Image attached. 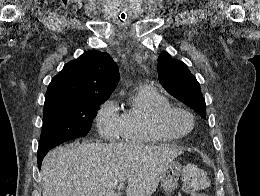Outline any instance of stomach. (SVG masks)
I'll return each mask as SVG.
<instances>
[{"instance_id":"obj_1","label":"stomach","mask_w":260,"mask_h":196,"mask_svg":"<svg viewBox=\"0 0 260 196\" xmlns=\"http://www.w3.org/2000/svg\"><path fill=\"white\" fill-rule=\"evenodd\" d=\"M180 172L181 164H179V162H171V164L167 166L165 174H163L161 178V186L167 196H171L174 190H176Z\"/></svg>"}]
</instances>
